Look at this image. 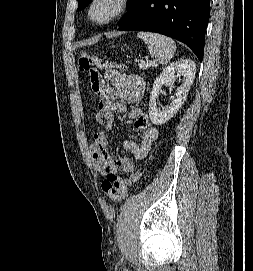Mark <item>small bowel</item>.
Segmentation results:
<instances>
[{"mask_svg":"<svg viewBox=\"0 0 253 271\" xmlns=\"http://www.w3.org/2000/svg\"><path fill=\"white\" fill-rule=\"evenodd\" d=\"M99 81L102 85L97 94L96 120L106 130L112 128L115 114H124L127 111V102H138L144 92L145 81L141 76L126 75L116 69L105 71V83L99 74ZM128 117L134 121L138 130L137 141L123 142V150L129 157L119 156L112 160L107 150V137L105 132L99 131L94 134L93 142L90 145V152L99 172L109 177L120 173L131 172L135 163L142 160L150 151L153 142L158 137V129L151 124L148 115L139 108H133L128 112Z\"/></svg>","mask_w":253,"mask_h":271,"instance_id":"1","label":"small bowel"}]
</instances>
